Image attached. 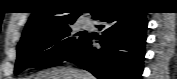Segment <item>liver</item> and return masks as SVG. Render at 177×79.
Instances as JSON below:
<instances>
[{
    "label": "liver",
    "mask_w": 177,
    "mask_h": 79,
    "mask_svg": "<svg viewBox=\"0 0 177 79\" xmlns=\"http://www.w3.org/2000/svg\"><path fill=\"white\" fill-rule=\"evenodd\" d=\"M27 79H95V77L84 70L61 67L38 72Z\"/></svg>",
    "instance_id": "6515ba94"
}]
</instances>
